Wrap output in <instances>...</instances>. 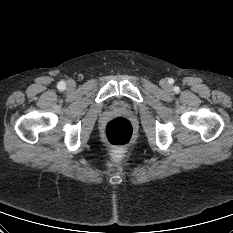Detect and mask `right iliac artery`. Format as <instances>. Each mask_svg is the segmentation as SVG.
Wrapping results in <instances>:
<instances>
[{
  "label": "right iliac artery",
  "instance_id": "right-iliac-artery-1",
  "mask_svg": "<svg viewBox=\"0 0 233 233\" xmlns=\"http://www.w3.org/2000/svg\"><path fill=\"white\" fill-rule=\"evenodd\" d=\"M57 87H58V89L63 90V89H65L66 84H65V82L61 81L58 83Z\"/></svg>",
  "mask_w": 233,
  "mask_h": 233
}]
</instances>
